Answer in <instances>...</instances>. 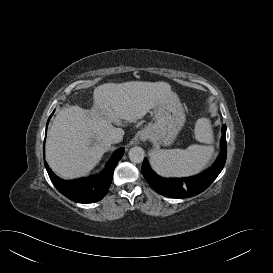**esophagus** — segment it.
Listing matches in <instances>:
<instances>
[{"label": "esophagus", "instance_id": "obj_1", "mask_svg": "<svg viewBox=\"0 0 273 273\" xmlns=\"http://www.w3.org/2000/svg\"><path fill=\"white\" fill-rule=\"evenodd\" d=\"M142 141H146L149 139V134L147 132L143 133L140 137Z\"/></svg>", "mask_w": 273, "mask_h": 273}]
</instances>
